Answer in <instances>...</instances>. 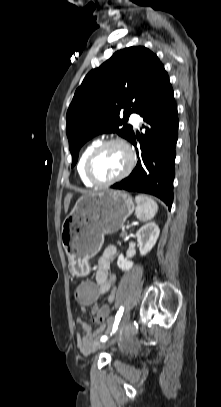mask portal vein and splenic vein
<instances>
[{
	"instance_id": "portal-vein-and-splenic-vein-1",
	"label": "portal vein and splenic vein",
	"mask_w": 221,
	"mask_h": 407,
	"mask_svg": "<svg viewBox=\"0 0 221 407\" xmlns=\"http://www.w3.org/2000/svg\"><path fill=\"white\" fill-rule=\"evenodd\" d=\"M126 228L128 229V228H129V226L127 225V226H126Z\"/></svg>"
}]
</instances>
